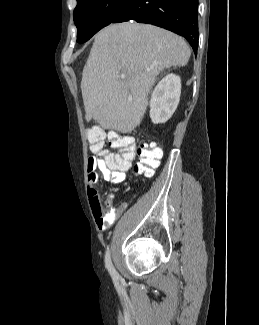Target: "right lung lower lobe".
Returning a JSON list of instances; mask_svg holds the SVG:
<instances>
[{"label": "right lung lower lobe", "mask_w": 259, "mask_h": 325, "mask_svg": "<svg viewBox=\"0 0 259 325\" xmlns=\"http://www.w3.org/2000/svg\"><path fill=\"white\" fill-rule=\"evenodd\" d=\"M135 20L185 37L198 48V0H126L111 23Z\"/></svg>", "instance_id": "right-lung-lower-lobe-1"}]
</instances>
